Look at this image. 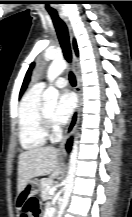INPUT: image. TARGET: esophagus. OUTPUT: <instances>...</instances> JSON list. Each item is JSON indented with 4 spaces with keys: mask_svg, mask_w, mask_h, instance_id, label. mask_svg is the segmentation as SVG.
I'll return each instance as SVG.
<instances>
[{
    "mask_svg": "<svg viewBox=\"0 0 132 217\" xmlns=\"http://www.w3.org/2000/svg\"><path fill=\"white\" fill-rule=\"evenodd\" d=\"M70 37H71V41H72V33L70 31ZM72 62H73V71L76 77V92H77V96H78V103H77V107L76 110L73 114V116L70 119V122L66 128L63 140L60 144V154L61 155H65L66 154V150H65V143L66 141L70 138V136L73 134L78 119H79V112H80V106H81V78H80V64H79V60L74 52V49L72 47Z\"/></svg>",
    "mask_w": 132,
    "mask_h": 217,
    "instance_id": "1",
    "label": "esophagus"
}]
</instances>
